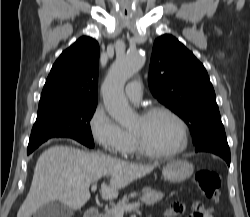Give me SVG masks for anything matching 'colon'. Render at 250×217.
Segmentation results:
<instances>
[{"instance_id": "obj_1", "label": "colon", "mask_w": 250, "mask_h": 217, "mask_svg": "<svg viewBox=\"0 0 250 217\" xmlns=\"http://www.w3.org/2000/svg\"><path fill=\"white\" fill-rule=\"evenodd\" d=\"M196 187L210 200L217 202L221 194V181L219 175L210 169L204 168L196 172L194 176ZM207 208L201 202L192 206L190 217H204Z\"/></svg>"}]
</instances>
